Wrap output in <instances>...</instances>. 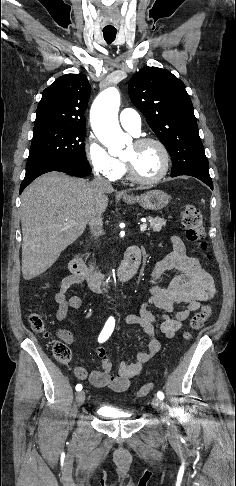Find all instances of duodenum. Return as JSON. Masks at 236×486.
I'll list each match as a JSON object with an SVG mask.
<instances>
[{
	"label": "duodenum",
	"instance_id": "1",
	"mask_svg": "<svg viewBox=\"0 0 236 486\" xmlns=\"http://www.w3.org/2000/svg\"><path fill=\"white\" fill-rule=\"evenodd\" d=\"M141 261V250L138 246L127 248L124 260L119 268L117 279L118 282L124 283L130 280L137 272ZM70 271L81 281H86L89 287L94 291L102 290L103 275L89 268L81 258L79 252H75L69 262Z\"/></svg>",
	"mask_w": 236,
	"mask_h": 486
}]
</instances>
